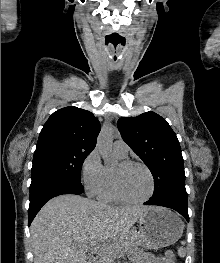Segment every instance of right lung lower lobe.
<instances>
[{"mask_svg":"<svg viewBox=\"0 0 220 263\" xmlns=\"http://www.w3.org/2000/svg\"><path fill=\"white\" fill-rule=\"evenodd\" d=\"M83 192L84 188L81 182L56 176L33 178L30 185L29 225L40 208L51 198L62 194H81Z\"/></svg>","mask_w":220,"mask_h":263,"instance_id":"right-lung-lower-lobe-1","label":"right lung lower lobe"}]
</instances>
